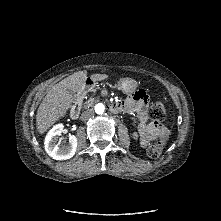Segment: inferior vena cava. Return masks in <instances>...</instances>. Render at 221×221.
Instances as JSON below:
<instances>
[{
  "instance_id": "602c4592",
  "label": "inferior vena cava",
  "mask_w": 221,
  "mask_h": 221,
  "mask_svg": "<svg viewBox=\"0 0 221 221\" xmlns=\"http://www.w3.org/2000/svg\"><path fill=\"white\" fill-rule=\"evenodd\" d=\"M93 115H94L93 109H88V110L84 111V112L81 114L80 119L83 120V121H86V120H88L89 118H91Z\"/></svg>"
}]
</instances>
